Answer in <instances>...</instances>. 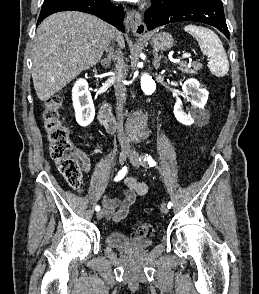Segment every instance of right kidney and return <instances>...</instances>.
I'll return each mask as SVG.
<instances>
[{
    "label": "right kidney",
    "instance_id": "1",
    "mask_svg": "<svg viewBox=\"0 0 259 294\" xmlns=\"http://www.w3.org/2000/svg\"><path fill=\"white\" fill-rule=\"evenodd\" d=\"M72 100L77 123L82 127L88 126L94 119L95 108L85 79H78L74 84Z\"/></svg>",
    "mask_w": 259,
    "mask_h": 294
}]
</instances>
